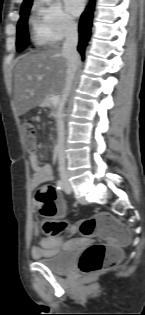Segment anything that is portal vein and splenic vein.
Segmentation results:
<instances>
[{
  "instance_id": "1",
  "label": "portal vein and splenic vein",
  "mask_w": 145,
  "mask_h": 315,
  "mask_svg": "<svg viewBox=\"0 0 145 315\" xmlns=\"http://www.w3.org/2000/svg\"><path fill=\"white\" fill-rule=\"evenodd\" d=\"M58 101H59V98L54 95V96L52 97V103H53V105H57V104H58Z\"/></svg>"
}]
</instances>
